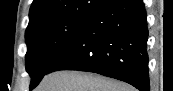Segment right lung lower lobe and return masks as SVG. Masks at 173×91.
Returning <instances> with one entry per match:
<instances>
[{
  "label": "right lung lower lobe",
  "mask_w": 173,
  "mask_h": 91,
  "mask_svg": "<svg viewBox=\"0 0 173 91\" xmlns=\"http://www.w3.org/2000/svg\"><path fill=\"white\" fill-rule=\"evenodd\" d=\"M147 15L142 0H112L97 10L47 73L80 70L149 91Z\"/></svg>",
  "instance_id": "1"
}]
</instances>
